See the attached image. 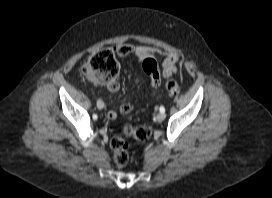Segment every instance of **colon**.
Wrapping results in <instances>:
<instances>
[{"label": "colon", "mask_w": 272, "mask_h": 198, "mask_svg": "<svg viewBox=\"0 0 272 198\" xmlns=\"http://www.w3.org/2000/svg\"><path fill=\"white\" fill-rule=\"evenodd\" d=\"M143 70L150 75L158 71L155 60L146 59L143 62ZM119 73V63L113 50L103 49L92 55L83 65L82 77L91 83L99 85H107L115 80ZM166 90L171 93H177L179 86L176 81L170 80L165 85ZM151 127L142 125L135 127L132 124H125L122 128V134L126 137L136 139L138 141H146L151 136ZM112 149V158L116 166L122 167L129 160L128 144L122 136H115L110 141Z\"/></svg>", "instance_id": "1"}]
</instances>
